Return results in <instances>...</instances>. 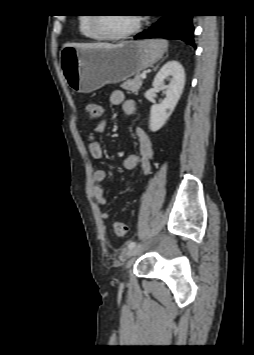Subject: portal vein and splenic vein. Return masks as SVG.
I'll use <instances>...</instances> for the list:
<instances>
[{
  "label": "portal vein and splenic vein",
  "instance_id": "portal-vein-and-splenic-vein-1",
  "mask_svg": "<svg viewBox=\"0 0 254 355\" xmlns=\"http://www.w3.org/2000/svg\"><path fill=\"white\" fill-rule=\"evenodd\" d=\"M141 78H146V74L143 73V74L141 75Z\"/></svg>",
  "mask_w": 254,
  "mask_h": 355
}]
</instances>
